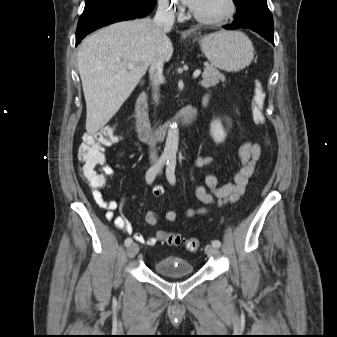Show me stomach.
Segmentation results:
<instances>
[{
    "label": "stomach",
    "instance_id": "0dacf381",
    "mask_svg": "<svg viewBox=\"0 0 337 337\" xmlns=\"http://www.w3.org/2000/svg\"><path fill=\"white\" fill-rule=\"evenodd\" d=\"M201 50L209 62L224 71L238 72L254 57L250 39L240 31H220L200 39Z\"/></svg>",
    "mask_w": 337,
    "mask_h": 337
}]
</instances>
